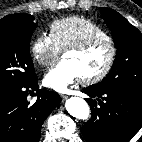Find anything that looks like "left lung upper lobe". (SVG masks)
Listing matches in <instances>:
<instances>
[{
    "label": "left lung upper lobe",
    "mask_w": 142,
    "mask_h": 142,
    "mask_svg": "<svg viewBox=\"0 0 142 142\" xmlns=\"http://www.w3.org/2000/svg\"><path fill=\"white\" fill-rule=\"evenodd\" d=\"M102 17L112 32L117 54L111 71L96 88H137L142 90V34L122 15L101 7Z\"/></svg>",
    "instance_id": "left-lung-upper-lobe-1"
}]
</instances>
